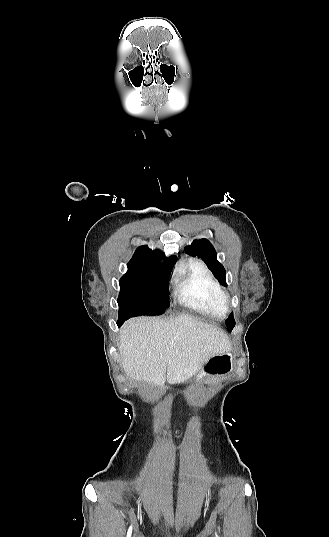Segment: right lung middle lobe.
Masks as SVG:
<instances>
[{"mask_svg": "<svg viewBox=\"0 0 329 537\" xmlns=\"http://www.w3.org/2000/svg\"><path fill=\"white\" fill-rule=\"evenodd\" d=\"M171 268L148 266L128 270L119 281L118 326L139 315H160L169 306Z\"/></svg>", "mask_w": 329, "mask_h": 537, "instance_id": "dd1d6c3e", "label": "right lung middle lobe"}]
</instances>
